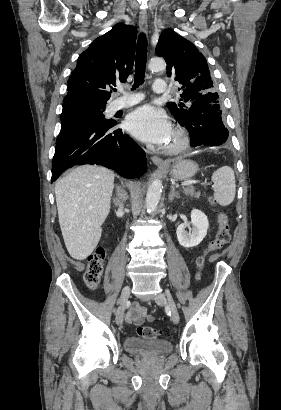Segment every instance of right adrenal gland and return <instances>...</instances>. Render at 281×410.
<instances>
[{"mask_svg": "<svg viewBox=\"0 0 281 410\" xmlns=\"http://www.w3.org/2000/svg\"><path fill=\"white\" fill-rule=\"evenodd\" d=\"M117 192L121 195H123V199H125L126 194L124 193V191L121 189L120 186H117ZM113 202L115 204V206L119 205V200L117 198H113Z\"/></svg>", "mask_w": 281, "mask_h": 410, "instance_id": "2a0ac1e0", "label": "right adrenal gland"}]
</instances>
